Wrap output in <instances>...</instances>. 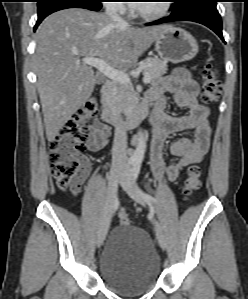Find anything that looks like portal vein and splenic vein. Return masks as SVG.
<instances>
[{
    "label": "portal vein and splenic vein",
    "instance_id": "portal-vein-and-splenic-vein-1",
    "mask_svg": "<svg viewBox=\"0 0 248 299\" xmlns=\"http://www.w3.org/2000/svg\"><path fill=\"white\" fill-rule=\"evenodd\" d=\"M83 63L91 67H95L99 72L104 76L108 77L111 80L117 81L119 83L130 84L131 80L128 74L123 71L117 70L110 65H108L103 59L87 57L84 58ZM151 77L148 74H145L143 77L144 83H149Z\"/></svg>",
    "mask_w": 248,
    "mask_h": 299
}]
</instances>
